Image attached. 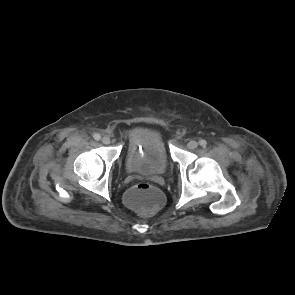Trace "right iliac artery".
<instances>
[{
  "instance_id": "1",
  "label": "right iliac artery",
  "mask_w": 295,
  "mask_h": 295,
  "mask_svg": "<svg viewBox=\"0 0 295 295\" xmlns=\"http://www.w3.org/2000/svg\"><path fill=\"white\" fill-rule=\"evenodd\" d=\"M93 137H94V139L97 140V141L101 139V136H100L99 134H97V133H95V134L93 135Z\"/></svg>"
}]
</instances>
